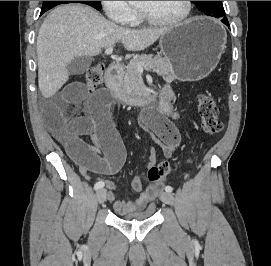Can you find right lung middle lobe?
Returning <instances> with one entry per match:
<instances>
[{
  "mask_svg": "<svg viewBox=\"0 0 271 266\" xmlns=\"http://www.w3.org/2000/svg\"><path fill=\"white\" fill-rule=\"evenodd\" d=\"M64 3H83L92 6L97 10L101 9L100 1H43L41 12L44 13L47 10L53 8L54 6Z\"/></svg>",
  "mask_w": 271,
  "mask_h": 266,
  "instance_id": "obj_1",
  "label": "right lung middle lobe"
}]
</instances>
